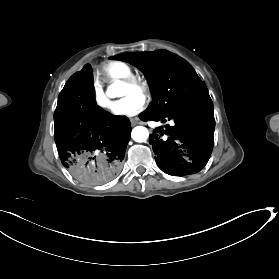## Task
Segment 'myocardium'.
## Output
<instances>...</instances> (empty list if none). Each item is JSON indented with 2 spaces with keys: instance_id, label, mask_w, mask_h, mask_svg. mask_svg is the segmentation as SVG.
I'll return each mask as SVG.
<instances>
[{
  "instance_id": "1",
  "label": "myocardium",
  "mask_w": 279,
  "mask_h": 279,
  "mask_svg": "<svg viewBox=\"0 0 279 279\" xmlns=\"http://www.w3.org/2000/svg\"><path fill=\"white\" fill-rule=\"evenodd\" d=\"M121 84L130 87L139 93L142 97H147L149 95V84L146 80L140 78L136 75H131L121 81Z\"/></svg>"
}]
</instances>
